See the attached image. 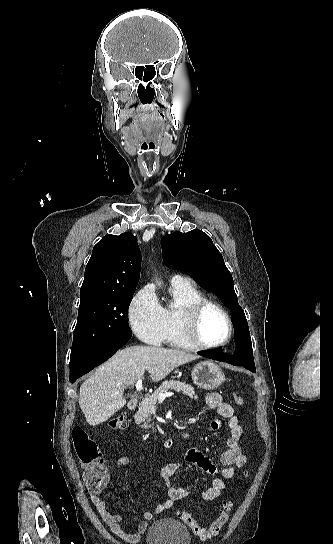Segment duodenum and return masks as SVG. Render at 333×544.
Returning <instances> with one entry per match:
<instances>
[{"instance_id":"1","label":"duodenum","mask_w":333,"mask_h":544,"mask_svg":"<svg viewBox=\"0 0 333 544\" xmlns=\"http://www.w3.org/2000/svg\"><path fill=\"white\" fill-rule=\"evenodd\" d=\"M138 406V399L137 398H134V399H131L128 403V408L131 409V410H134L136 409V407ZM176 441V437H171L169 438L168 440L165 441L164 445L166 448H171L172 445L175 443Z\"/></svg>"}]
</instances>
